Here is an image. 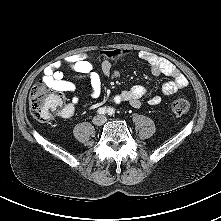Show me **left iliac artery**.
<instances>
[{
    "label": "left iliac artery",
    "instance_id": "1",
    "mask_svg": "<svg viewBox=\"0 0 221 221\" xmlns=\"http://www.w3.org/2000/svg\"><path fill=\"white\" fill-rule=\"evenodd\" d=\"M115 110L113 108L108 109V115H114Z\"/></svg>",
    "mask_w": 221,
    "mask_h": 221
}]
</instances>
